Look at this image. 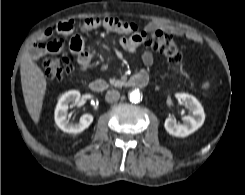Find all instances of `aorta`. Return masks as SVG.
<instances>
[{"label":"aorta","mask_w":245,"mask_h":195,"mask_svg":"<svg viewBox=\"0 0 245 195\" xmlns=\"http://www.w3.org/2000/svg\"><path fill=\"white\" fill-rule=\"evenodd\" d=\"M130 101H132L134 103H138L140 101V93L138 90H133L130 93Z\"/></svg>","instance_id":"1"}]
</instances>
